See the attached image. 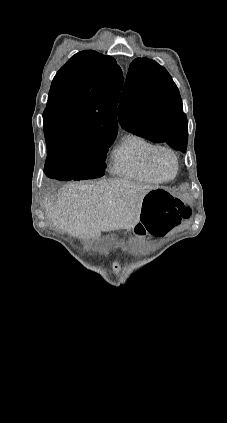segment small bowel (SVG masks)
<instances>
[{"label":"small bowel","instance_id":"small-bowel-1","mask_svg":"<svg viewBox=\"0 0 227 423\" xmlns=\"http://www.w3.org/2000/svg\"><path fill=\"white\" fill-rule=\"evenodd\" d=\"M137 231L140 233V234H146V233H150L149 232V230H148V228L142 223V222H139L138 223V225H137ZM151 234V233H150Z\"/></svg>","mask_w":227,"mask_h":423}]
</instances>
